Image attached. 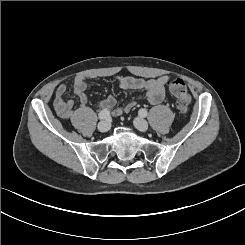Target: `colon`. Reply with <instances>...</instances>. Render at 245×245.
<instances>
[{
  "mask_svg": "<svg viewBox=\"0 0 245 245\" xmlns=\"http://www.w3.org/2000/svg\"><path fill=\"white\" fill-rule=\"evenodd\" d=\"M167 86L171 94L176 98V105L180 113L186 114L190 107L191 97L185 82L179 78H169Z\"/></svg>",
  "mask_w": 245,
  "mask_h": 245,
  "instance_id": "colon-1",
  "label": "colon"
}]
</instances>
